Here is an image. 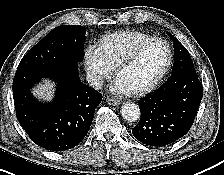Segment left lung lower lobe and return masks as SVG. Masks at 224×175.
Masks as SVG:
<instances>
[{
	"instance_id": "obj_1",
	"label": "left lung lower lobe",
	"mask_w": 224,
	"mask_h": 175,
	"mask_svg": "<svg viewBox=\"0 0 224 175\" xmlns=\"http://www.w3.org/2000/svg\"><path fill=\"white\" fill-rule=\"evenodd\" d=\"M202 96L194 67L176 69L156 91L138 101L141 118L132 129L133 136L155 147L177 141L191 128Z\"/></svg>"
}]
</instances>
